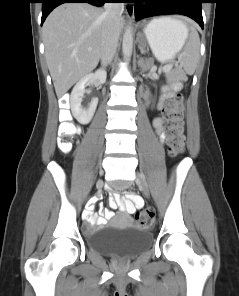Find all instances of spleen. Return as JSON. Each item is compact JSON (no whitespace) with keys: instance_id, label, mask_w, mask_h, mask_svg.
I'll list each match as a JSON object with an SVG mask.
<instances>
[{"instance_id":"3e777b00","label":"spleen","mask_w":239,"mask_h":296,"mask_svg":"<svg viewBox=\"0 0 239 296\" xmlns=\"http://www.w3.org/2000/svg\"><path fill=\"white\" fill-rule=\"evenodd\" d=\"M185 29H186V33L188 36V28L186 26H185ZM199 48H200L199 35H198L197 31L193 29V30H191V33L189 35V40L186 45L183 59H182L183 68H184L185 72L189 75H192L195 71L198 57H199Z\"/></svg>"}]
</instances>
